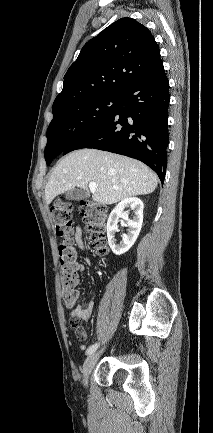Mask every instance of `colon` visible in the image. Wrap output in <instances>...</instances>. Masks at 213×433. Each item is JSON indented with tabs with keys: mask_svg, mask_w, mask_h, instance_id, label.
I'll return each mask as SVG.
<instances>
[{
	"mask_svg": "<svg viewBox=\"0 0 213 433\" xmlns=\"http://www.w3.org/2000/svg\"><path fill=\"white\" fill-rule=\"evenodd\" d=\"M72 205L62 202L52 209V221L56 235L62 238L59 244V257L61 265L62 300L69 308L73 307L78 298L76 290L77 273L75 268L76 252L71 238L73 227ZM81 215L84 219L89 240L99 256L107 254L105 230L107 225V209L104 205L92 200L80 202ZM72 329L78 338L82 337L83 327L80 321L72 318L70 321Z\"/></svg>",
	"mask_w": 213,
	"mask_h": 433,
	"instance_id": "colon-1",
	"label": "colon"
}]
</instances>
